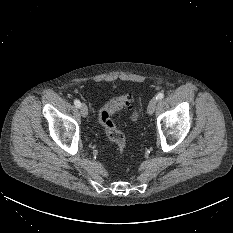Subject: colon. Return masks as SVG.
I'll return each instance as SVG.
<instances>
[{"label":"colon","mask_w":233,"mask_h":233,"mask_svg":"<svg viewBox=\"0 0 233 233\" xmlns=\"http://www.w3.org/2000/svg\"><path fill=\"white\" fill-rule=\"evenodd\" d=\"M134 104V97L131 94H123L110 99L99 111V123L103 127L107 137L112 141L119 154H123L126 149V137L117 128L112 116L121 112L131 110ZM138 113H133L132 119L137 120Z\"/></svg>","instance_id":"obj_1"}]
</instances>
